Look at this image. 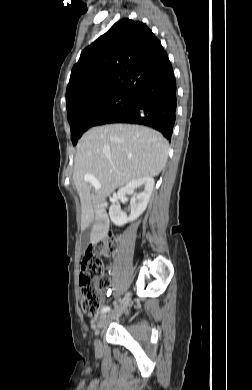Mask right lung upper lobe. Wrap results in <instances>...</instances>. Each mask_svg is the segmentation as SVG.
<instances>
[{
	"instance_id": "1",
	"label": "right lung upper lobe",
	"mask_w": 252,
	"mask_h": 390,
	"mask_svg": "<svg viewBox=\"0 0 252 390\" xmlns=\"http://www.w3.org/2000/svg\"><path fill=\"white\" fill-rule=\"evenodd\" d=\"M173 73L166 51L142 22L123 19L84 49L66 90L67 113L112 95H134Z\"/></svg>"
}]
</instances>
